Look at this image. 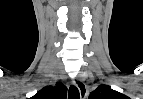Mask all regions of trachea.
<instances>
[{"instance_id": "obj_1", "label": "trachea", "mask_w": 143, "mask_h": 99, "mask_svg": "<svg viewBox=\"0 0 143 99\" xmlns=\"http://www.w3.org/2000/svg\"><path fill=\"white\" fill-rule=\"evenodd\" d=\"M80 94L79 90L76 86L71 85L68 91V99H79Z\"/></svg>"}]
</instances>
